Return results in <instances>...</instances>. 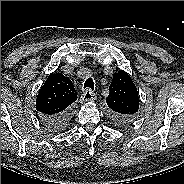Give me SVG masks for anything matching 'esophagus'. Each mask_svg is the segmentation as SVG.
Returning <instances> with one entry per match:
<instances>
[{"mask_svg": "<svg viewBox=\"0 0 184 184\" xmlns=\"http://www.w3.org/2000/svg\"><path fill=\"white\" fill-rule=\"evenodd\" d=\"M96 99V94L91 90H85L81 95L80 101L81 102H89L94 101Z\"/></svg>", "mask_w": 184, "mask_h": 184, "instance_id": "obj_1", "label": "esophagus"}]
</instances>
